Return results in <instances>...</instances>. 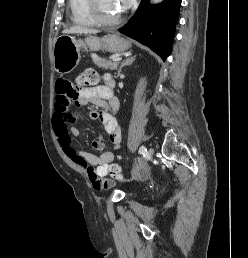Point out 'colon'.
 Segmentation results:
<instances>
[{
    "label": "colon",
    "mask_w": 248,
    "mask_h": 258,
    "mask_svg": "<svg viewBox=\"0 0 248 258\" xmlns=\"http://www.w3.org/2000/svg\"><path fill=\"white\" fill-rule=\"evenodd\" d=\"M99 81V75L98 73L93 69H86L83 72L79 73L76 81H75V88L72 90V95L74 97H77L78 93L81 91V89L92 86L97 84ZM110 174L112 179L114 180H122L123 175L121 173L120 167L118 165H113L110 168Z\"/></svg>",
    "instance_id": "obj_1"
}]
</instances>
